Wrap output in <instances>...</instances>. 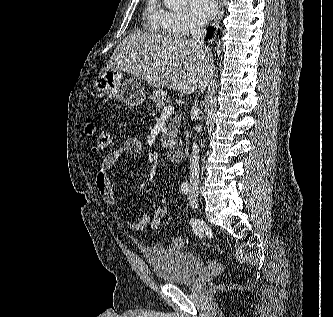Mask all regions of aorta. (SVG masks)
<instances>
[{"label":"aorta","mask_w":333,"mask_h":317,"mask_svg":"<svg viewBox=\"0 0 333 317\" xmlns=\"http://www.w3.org/2000/svg\"><path fill=\"white\" fill-rule=\"evenodd\" d=\"M188 0H164V4L170 9H180L186 5Z\"/></svg>","instance_id":"1"}]
</instances>
